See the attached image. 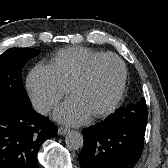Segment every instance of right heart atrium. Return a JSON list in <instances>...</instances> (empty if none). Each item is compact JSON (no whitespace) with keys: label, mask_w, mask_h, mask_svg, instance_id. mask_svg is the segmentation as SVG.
I'll use <instances>...</instances> for the list:
<instances>
[{"label":"right heart atrium","mask_w":168,"mask_h":168,"mask_svg":"<svg viewBox=\"0 0 168 168\" xmlns=\"http://www.w3.org/2000/svg\"><path fill=\"white\" fill-rule=\"evenodd\" d=\"M27 91L35 109L48 113L68 92L53 65L37 64L27 77Z\"/></svg>","instance_id":"1"}]
</instances>
